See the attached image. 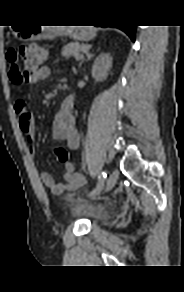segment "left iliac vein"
I'll use <instances>...</instances> for the list:
<instances>
[{
    "label": "left iliac vein",
    "instance_id": "obj_1",
    "mask_svg": "<svg viewBox=\"0 0 184 292\" xmlns=\"http://www.w3.org/2000/svg\"><path fill=\"white\" fill-rule=\"evenodd\" d=\"M118 175H119V173H118L117 170L112 171V172L109 174V176L107 177L106 183H105V185L103 186V188H102L98 193H96V194H94V195H91V197H92V198L96 197V196L99 195L102 191H103V192H107V191L111 190V189L114 187L115 183L117 182Z\"/></svg>",
    "mask_w": 184,
    "mask_h": 292
}]
</instances>
